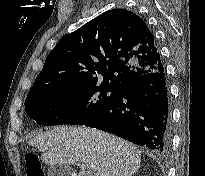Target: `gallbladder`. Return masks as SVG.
Instances as JSON below:
<instances>
[{
    "instance_id": "1",
    "label": "gallbladder",
    "mask_w": 205,
    "mask_h": 176,
    "mask_svg": "<svg viewBox=\"0 0 205 176\" xmlns=\"http://www.w3.org/2000/svg\"><path fill=\"white\" fill-rule=\"evenodd\" d=\"M47 174V176H70L71 169L68 165H51Z\"/></svg>"
}]
</instances>
